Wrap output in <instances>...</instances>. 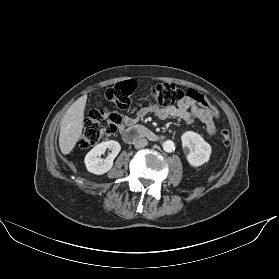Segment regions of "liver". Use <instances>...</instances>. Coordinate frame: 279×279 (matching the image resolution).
<instances>
[{"instance_id": "1", "label": "liver", "mask_w": 279, "mask_h": 279, "mask_svg": "<svg viewBox=\"0 0 279 279\" xmlns=\"http://www.w3.org/2000/svg\"><path fill=\"white\" fill-rule=\"evenodd\" d=\"M86 101V94L78 98L69 107L60 122L59 147L64 155L69 154L73 150L81 137Z\"/></svg>"}]
</instances>
